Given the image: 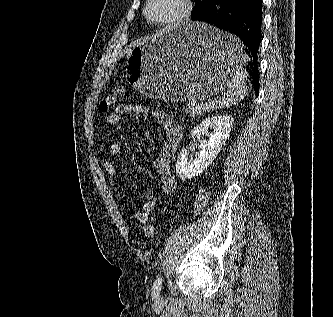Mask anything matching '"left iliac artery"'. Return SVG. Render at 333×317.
<instances>
[{
  "instance_id": "left-iliac-artery-1",
  "label": "left iliac artery",
  "mask_w": 333,
  "mask_h": 317,
  "mask_svg": "<svg viewBox=\"0 0 333 317\" xmlns=\"http://www.w3.org/2000/svg\"><path fill=\"white\" fill-rule=\"evenodd\" d=\"M161 286H162V278L161 277H158L154 284H153V292L154 294H158L161 290Z\"/></svg>"
}]
</instances>
